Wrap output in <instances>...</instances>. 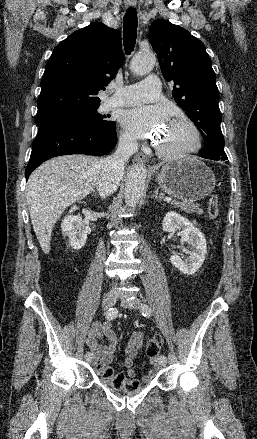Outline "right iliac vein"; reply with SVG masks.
<instances>
[{
  "instance_id": "1",
  "label": "right iliac vein",
  "mask_w": 257,
  "mask_h": 439,
  "mask_svg": "<svg viewBox=\"0 0 257 439\" xmlns=\"http://www.w3.org/2000/svg\"><path fill=\"white\" fill-rule=\"evenodd\" d=\"M116 300H117V293L116 292H108L103 297L102 307L104 309H108L115 304ZM88 361L93 364L92 359H89Z\"/></svg>"
}]
</instances>
